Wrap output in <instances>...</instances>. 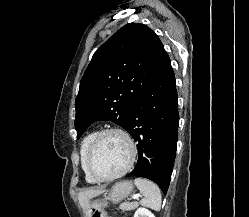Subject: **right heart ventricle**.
<instances>
[{
    "label": "right heart ventricle",
    "instance_id": "e07e8e85",
    "mask_svg": "<svg viewBox=\"0 0 249 217\" xmlns=\"http://www.w3.org/2000/svg\"><path fill=\"white\" fill-rule=\"evenodd\" d=\"M97 134L96 131H89L82 139L81 143H80V148H79V155H80V165L82 168V171L84 173L85 176V180L88 183H96L97 181H95L87 172L86 170V165H85V159H86V154L89 148V145L91 143V141L93 140V138L95 137V135Z\"/></svg>",
    "mask_w": 249,
    "mask_h": 217
}]
</instances>
